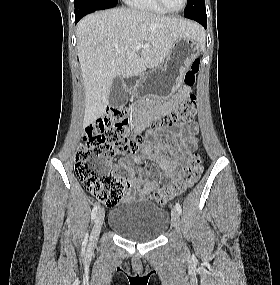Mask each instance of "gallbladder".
Masks as SVG:
<instances>
[{
  "mask_svg": "<svg viewBox=\"0 0 280 285\" xmlns=\"http://www.w3.org/2000/svg\"><path fill=\"white\" fill-rule=\"evenodd\" d=\"M128 95L121 78H114L109 94V104L112 107H121L127 103Z\"/></svg>",
  "mask_w": 280,
  "mask_h": 285,
  "instance_id": "obj_1",
  "label": "gallbladder"
}]
</instances>
